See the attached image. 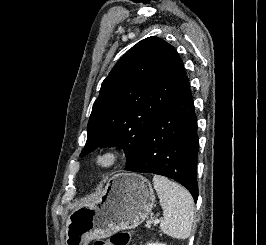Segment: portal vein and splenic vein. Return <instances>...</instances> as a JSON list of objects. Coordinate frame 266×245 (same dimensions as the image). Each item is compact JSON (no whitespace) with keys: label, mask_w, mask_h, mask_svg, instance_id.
<instances>
[{"label":"portal vein and splenic vein","mask_w":266,"mask_h":245,"mask_svg":"<svg viewBox=\"0 0 266 245\" xmlns=\"http://www.w3.org/2000/svg\"><path fill=\"white\" fill-rule=\"evenodd\" d=\"M154 223L157 225V223H159V219H155Z\"/></svg>","instance_id":"obj_1"}]
</instances>
